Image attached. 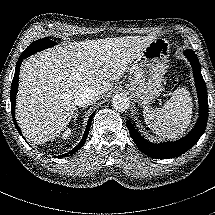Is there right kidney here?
<instances>
[{"mask_svg": "<svg viewBox=\"0 0 215 215\" xmlns=\"http://www.w3.org/2000/svg\"><path fill=\"white\" fill-rule=\"evenodd\" d=\"M70 134H71V129H66L65 131H64V133L62 134V138H64V139H66L67 137H69L70 136Z\"/></svg>", "mask_w": 215, "mask_h": 215, "instance_id": "1", "label": "right kidney"}]
</instances>
